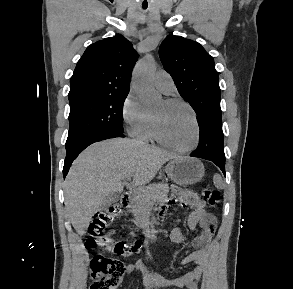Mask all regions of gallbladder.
<instances>
[{"label": "gallbladder", "mask_w": 293, "mask_h": 289, "mask_svg": "<svg viewBox=\"0 0 293 289\" xmlns=\"http://www.w3.org/2000/svg\"><path fill=\"white\" fill-rule=\"evenodd\" d=\"M120 199V195L118 193H111L103 200L101 209H106L113 203L117 202Z\"/></svg>", "instance_id": "1"}]
</instances>
